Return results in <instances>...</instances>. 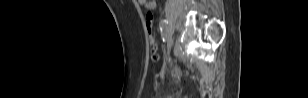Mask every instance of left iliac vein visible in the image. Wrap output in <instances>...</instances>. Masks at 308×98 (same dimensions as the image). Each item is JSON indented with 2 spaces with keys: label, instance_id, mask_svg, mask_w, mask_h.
Returning <instances> with one entry per match:
<instances>
[{
  "label": "left iliac vein",
  "instance_id": "4c4485c4",
  "mask_svg": "<svg viewBox=\"0 0 308 98\" xmlns=\"http://www.w3.org/2000/svg\"><path fill=\"white\" fill-rule=\"evenodd\" d=\"M173 44V38L170 36L167 40V54H169Z\"/></svg>",
  "mask_w": 308,
  "mask_h": 98
}]
</instances>
